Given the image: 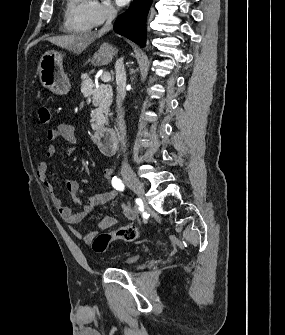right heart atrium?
I'll return each instance as SVG.
<instances>
[{
  "label": "right heart atrium",
  "mask_w": 285,
  "mask_h": 335,
  "mask_svg": "<svg viewBox=\"0 0 285 335\" xmlns=\"http://www.w3.org/2000/svg\"><path fill=\"white\" fill-rule=\"evenodd\" d=\"M118 15L112 1H93L89 6V19L94 27L113 21Z\"/></svg>",
  "instance_id": "obj_1"
}]
</instances>
